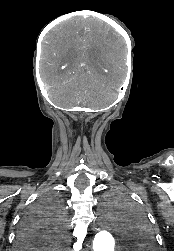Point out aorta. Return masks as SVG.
Segmentation results:
<instances>
[{"label": "aorta", "mask_w": 174, "mask_h": 251, "mask_svg": "<svg viewBox=\"0 0 174 251\" xmlns=\"http://www.w3.org/2000/svg\"><path fill=\"white\" fill-rule=\"evenodd\" d=\"M119 226V222L111 217H102L99 221V229L93 241L94 251H114V239L109 232Z\"/></svg>", "instance_id": "1"}]
</instances>
